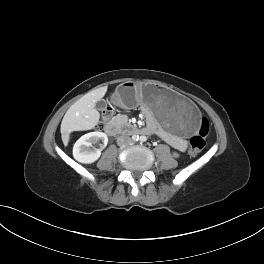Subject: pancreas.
Returning <instances> with one entry per match:
<instances>
[{"label":"pancreas","mask_w":264,"mask_h":264,"mask_svg":"<svg viewBox=\"0 0 264 264\" xmlns=\"http://www.w3.org/2000/svg\"><path fill=\"white\" fill-rule=\"evenodd\" d=\"M116 121L120 124L126 123V117L125 116H118V117H116Z\"/></svg>","instance_id":"1"}]
</instances>
